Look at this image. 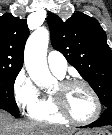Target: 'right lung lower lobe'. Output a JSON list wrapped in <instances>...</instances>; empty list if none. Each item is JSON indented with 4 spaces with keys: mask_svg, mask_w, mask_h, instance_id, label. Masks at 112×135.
<instances>
[{
    "mask_svg": "<svg viewBox=\"0 0 112 135\" xmlns=\"http://www.w3.org/2000/svg\"><path fill=\"white\" fill-rule=\"evenodd\" d=\"M0 109H3V110L8 111L10 114H12V115L15 116V117H19V112H14V111H11V110H9V109L2 108V107H0Z\"/></svg>",
    "mask_w": 112,
    "mask_h": 135,
    "instance_id": "obj_1",
    "label": "right lung lower lobe"
}]
</instances>
